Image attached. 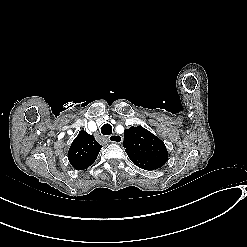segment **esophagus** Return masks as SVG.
Wrapping results in <instances>:
<instances>
[{
    "label": "esophagus",
    "instance_id": "obj_1",
    "mask_svg": "<svg viewBox=\"0 0 247 247\" xmlns=\"http://www.w3.org/2000/svg\"><path fill=\"white\" fill-rule=\"evenodd\" d=\"M109 142L111 143H122L123 137L118 134H113L108 137Z\"/></svg>",
    "mask_w": 247,
    "mask_h": 247
}]
</instances>
